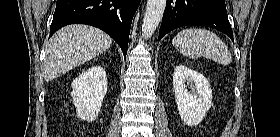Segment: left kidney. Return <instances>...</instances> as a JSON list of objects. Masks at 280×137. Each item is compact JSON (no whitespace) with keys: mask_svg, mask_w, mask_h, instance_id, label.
Instances as JSON below:
<instances>
[{"mask_svg":"<svg viewBox=\"0 0 280 137\" xmlns=\"http://www.w3.org/2000/svg\"><path fill=\"white\" fill-rule=\"evenodd\" d=\"M173 87L181 119L188 126L198 125L212 105L209 81L201 73L178 65L173 72Z\"/></svg>","mask_w":280,"mask_h":137,"instance_id":"1","label":"left kidney"}]
</instances>
